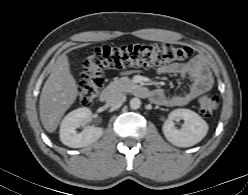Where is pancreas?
<instances>
[{"label":"pancreas","mask_w":248,"mask_h":195,"mask_svg":"<svg viewBox=\"0 0 248 195\" xmlns=\"http://www.w3.org/2000/svg\"><path fill=\"white\" fill-rule=\"evenodd\" d=\"M109 87L117 91L130 92L136 87V85L128 77H121L114 79L109 84Z\"/></svg>","instance_id":"1"}]
</instances>
